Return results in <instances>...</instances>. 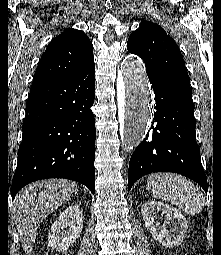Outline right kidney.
I'll return each instance as SVG.
<instances>
[{
    "mask_svg": "<svg viewBox=\"0 0 221 255\" xmlns=\"http://www.w3.org/2000/svg\"><path fill=\"white\" fill-rule=\"evenodd\" d=\"M83 229V212L79 204L66 208L52 224L48 246L54 250H67L80 236Z\"/></svg>",
    "mask_w": 221,
    "mask_h": 255,
    "instance_id": "1",
    "label": "right kidney"
}]
</instances>
